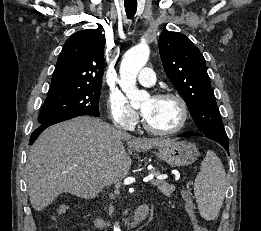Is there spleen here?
Returning <instances> with one entry per match:
<instances>
[{"label": "spleen", "instance_id": "3e777b00", "mask_svg": "<svg viewBox=\"0 0 261 231\" xmlns=\"http://www.w3.org/2000/svg\"><path fill=\"white\" fill-rule=\"evenodd\" d=\"M226 174L221 160L208 150L196 176L194 193L202 218L214 220L222 206L226 190Z\"/></svg>", "mask_w": 261, "mask_h": 231}]
</instances>
